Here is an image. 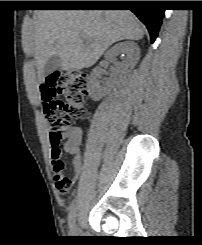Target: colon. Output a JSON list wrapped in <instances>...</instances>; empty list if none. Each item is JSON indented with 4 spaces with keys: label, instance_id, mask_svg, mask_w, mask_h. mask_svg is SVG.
<instances>
[{
    "label": "colon",
    "instance_id": "colon-1",
    "mask_svg": "<svg viewBox=\"0 0 202 245\" xmlns=\"http://www.w3.org/2000/svg\"><path fill=\"white\" fill-rule=\"evenodd\" d=\"M46 84L55 89L58 97L55 109L61 110V115L56 116L48 105L44 106L51 147L59 148L65 130L85 113L88 75L78 70L55 71L47 77Z\"/></svg>",
    "mask_w": 202,
    "mask_h": 245
}]
</instances>
